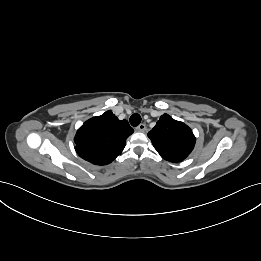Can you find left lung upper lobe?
Returning <instances> with one entry per match:
<instances>
[{
    "instance_id": "left-lung-upper-lobe-1",
    "label": "left lung upper lobe",
    "mask_w": 261,
    "mask_h": 261,
    "mask_svg": "<svg viewBox=\"0 0 261 261\" xmlns=\"http://www.w3.org/2000/svg\"><path fill=\"white\" fill-rule=\"evenodd\" d=\"M154 148L167 161L181 162L193 150L195 136L183 122L164 114L148 133Z\"/></svg>"
}]
</instances>
